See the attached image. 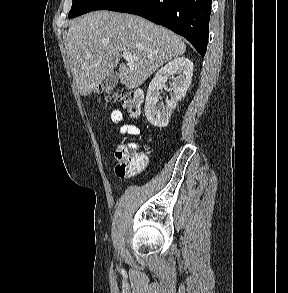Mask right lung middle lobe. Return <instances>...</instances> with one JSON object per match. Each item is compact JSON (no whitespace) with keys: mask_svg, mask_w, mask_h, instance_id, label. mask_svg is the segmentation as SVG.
Returning a JSON list of instances; mask_svg holds the SVG:
<instances>
[{"mask_svg":"<svg viewBox=\"0 0 288 293\" xmlns=\"http://www.w3.org/2000/svg\"><path fill=\"white\" fill-rule=\"evenodd\" d=\"M119 0H73L69 18L77 17L94 10H104Z\"/></svg>","mask_w":288,"mask_h":293,"instance_id":"dd1d6c3e","label":"right lung middle lobe"}]
</instances>
